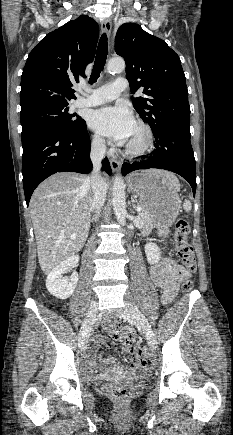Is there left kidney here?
<instances>
[{
    "label": "left kidney",
    "mask_w": 233,
    "mask_h": 435,
    "mask_svg": "<svg viewBox=\"0 0 233 435\" xmlns=\"http://www.w3.org/2000/svg\"><path fill=\"white\" fill-rule=\"evenodd\" d=\"M145 253L150 264L157 263L161 257L160 248L151 242L145 245Z\"/></svg>",
    "instance_id": "5707ae66"
}]
</instances>
